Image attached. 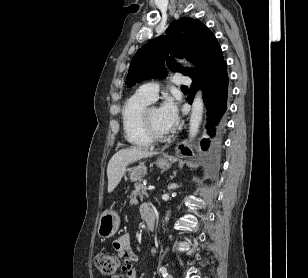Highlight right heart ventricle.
<instances>
[{
  "instance_id": "right-heart-ventricle-1",
  "label": "right heart ventricle",
  "mask_w": 308,
  "mask_h": 278,
  "mask_svg": "<svg viewBox=\"0 0 308 278\" xmlns=\"http://www.w3.org/2000/svg\"><path fill=\"white\" fill-rule=\"evenodd\" d=\"M150 104L146 98L138 93L130 96L122 108V124L126 140L133 146L147 148L152 144V139L146 134L141 115Z\"/></svg>"
}]
</instances>
